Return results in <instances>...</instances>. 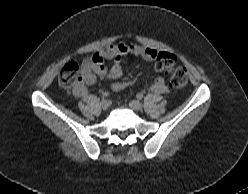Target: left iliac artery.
<instances>
[{
	"mask_svg": "<svg viewBox=\"0 0 248 194\" xmlns=\"http://www.w3.org/2000/svg\"><path fill=\"white\" fill-rule=\"evenodd\" d=\"M136 97L138 98V99H142L144 96H143V94L142 93H138L137 95H136Z\"/></svg>",
	"mask_w": 248,
	"mask_h": 194,
	"instance_id": "44dca946",
	"label": "left iliac artery"
}]
</instances>
